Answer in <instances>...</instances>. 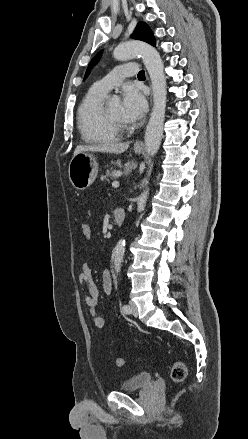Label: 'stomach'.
I'll return each mask as SVG.
<instances>
[{"mask_svg":"<svg viewBox=\"0 0 248 439\" xmlns=\"http://www.w3.org/2000/svg\"><path fill=\"white\" fill-rule=\"evenodd\" d=\"M141 149H135L136 153H141ZM98 165L93 154L80 152L74 155L69 163V180L77 190L87 189L96 179Z\"/></svg>","mask_w":248,"mask_h":439,"instance_id":"1","label":"stomach"}]
</instances>
